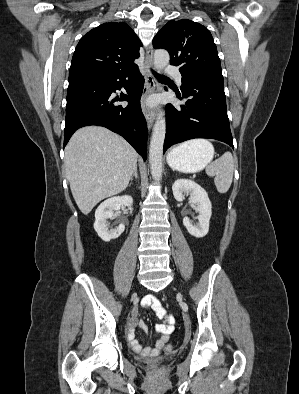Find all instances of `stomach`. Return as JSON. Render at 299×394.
Listing matches in <instances>:
<instances>
[{
  "instance_id": "1",
  "label": "stomach",
  "mask_w": 299,
  "mask_h": 394,
  "mask_svg": "<svg viewBox=\"0 0 299 394\" xmlns=\"http://www.w3.org/2000/svg\"><path fill=\"white\" fill-rule=\"evenodd\" d=\"M212 146L187 143L183 147L174 148L167 156V162L172 169L185 173H195L202 170L213 158Z\"/></svg>"
}]
</instances>
